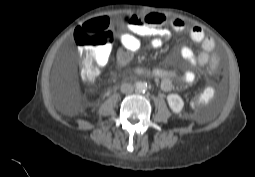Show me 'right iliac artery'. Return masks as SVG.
<instances>
[{
	"label": "right iliac artery",
	"mask_w": 255,
	"mask_h": 177,
	"mask_svg": "<svg viewBox=\"0 0 255 177\" xmlns=\"http://www.w3.org/2000/svg\"><path fill=\"white\" fill-rule=\"evenodd\" d=\"M135 85H136V86H138V85H139V83L137 82Z\"/></svg>",
	"instance_id": "obj_1"
}]
</instances>
